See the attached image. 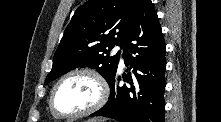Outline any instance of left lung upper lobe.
<instances>
[{"instance_id": "5c2ea615", "label": "left lung upper lobe", "mask_w": 221, "mask_h": 122, "mask_svg": "<svg viewBox=\"0 0 221 122\" xmlns=\"http://www.w3.org/2000/svg\"><path fill=\"white\" fill-rule=\"evenodd\" d=\"M140 0H89L79 7L61 39L45 84L77 67L95 68L111 82L116 75L120 53L136 16Z\"/></svg>"}]
</instances>
